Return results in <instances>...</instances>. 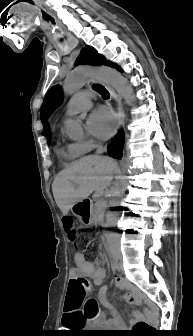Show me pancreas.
I'll return each mask as SVG.
<instances>
[{"label":"pancreas","mask_w":193,"mask_h":336,"mask_svg":"<svg viewBox=\"0 0 193 336\" xmlns=\"http://www.w3.org/2000/svg\"><path fill=\"white\" fill-rule=\"evenodd\" d=\"M105 207L104 203H95L94 205V220L97 222L98 225L103 223L102 215L103 210L102 208Z\"/></svg>","instance_id":"obj_1"}]
</instances>
